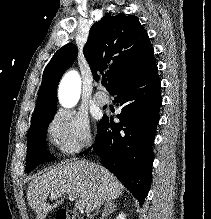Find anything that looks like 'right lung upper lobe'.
<instances>
[{"label":"right lung upper lobe","mask_w":211,"mask_h":219,"mask_svg":"<svg viewBox=\"0 0 211 219\" xmlns=\"http://www.w3.org/2000/svg\"><path fill=\"white\" fill-rule=\"evenodd\" d=\"M73 44L61 47L47 64L42 77L33 117L56 111L57 86L65 70L76 58ZM84 54L93 78L107 76V91L138 72L154 59L149 37L136 16L105 15L90 29ZM105 73V74H104Z\"/></svg>","instance_id":"obj_1"}]
</instances>
